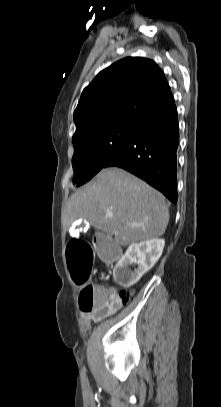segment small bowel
<instances>
[{
    "instance_id": "small-bowel-1",
    "label": "small bowel",
    "mask_w": 221,
    "mask_h": 407,
    "mask_svg": "<svg viewBox=\"0 0 221 407\" xmlns=\"http://www.w3.org/2000/svg\"><path fill=\"white\" fill-rule=\"evenodd\" d=\"M91 314H92L91 316H92L93 320H99V319L106 316V315H100V314H97V313H94V312H92Z\"/></svg>"
}]
</instances>
